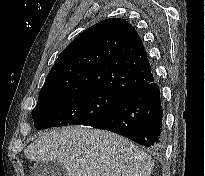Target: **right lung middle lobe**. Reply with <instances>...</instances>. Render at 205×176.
Instances as JSON below:
<instances>
[{
  "label": "right lung middle lobe",
  "instance_id": "right-lung-middle-lobe-1",
  "mask_svg": "<svg viewBox=\"0 0 205 176\" xmlns=\"http://www.w3.org/2000/svg\"><path fill=\"white\" fill-rule=\"evenodd\" d=\"M124 97L105 89L39 96L32 111L34 125L37 130L68 125L92 126L109 114Z\"/></svg>",
  "mask_w": 205,
  "mask_h": 176
}]
</instances>
